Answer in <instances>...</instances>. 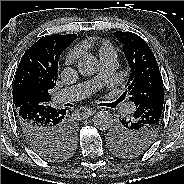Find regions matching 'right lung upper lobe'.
Listing matches in <instances>:
<instances>
[{
  "label": "right lung upper lobe",
  "mask_w": 184,
  "mask_h": 184,
  "mask_svg": "<svg viewBox=\"0 0 184 184\" xmlns=\"http://www.w3.org/2000/svg\"><path fill=\"white\" fill-rule=\"evenodd\" d=\"M76 34L45 36L23 55L16 70L13 102L16 108L25 104H49V91L56 86L58 60Z\"/></svg>",
  "instance_id": "cb5924a9"
}]
</instances>
